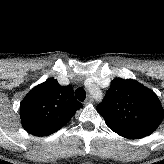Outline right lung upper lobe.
Listing matches in <instances>:
<instances>
[{
  "instance_id": "1",
  "label": "right lung upper lobe",
  "mask_w": 164,
  "mask_h": 164,
  "mask_svg": "<svg viewBox=\"0 0 164 164\" xmlns=\"http://www.w3.org/2000/svg\"><path fill=\"white\" fill-rule=\"evenodd\" d=\"M82 104L71 86H61L54 78L35 86L20 104L23 128L35 136H47L67 124Z\"/></svg>"
}]
</instances>
